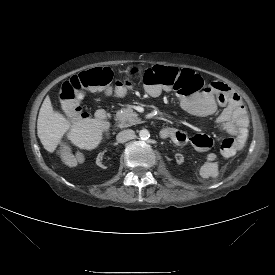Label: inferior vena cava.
<instances>
[{
  "mask_svg": "<svg viewBox=\"0 0 275 275\" xmlns=\"http://www.w3.org/2000/svg\"><path fill=\"white\" fill-rule=\"evenodd\" d=\"M135 137V132L131 129L123 130L119 132L116 136V140L119 143L127 142Z\"/></svg>",
  "mask_w": 275,
  "mask_h": 275,
  "instance_id": "inferior-vena-cava-1",
  "label": "inferior vena cava"
}]
</instances>
